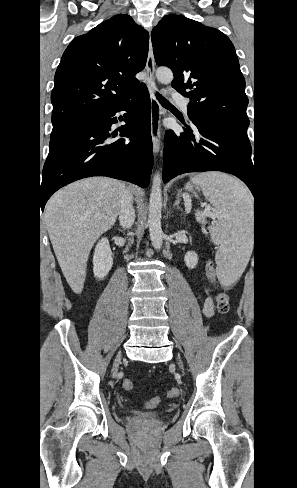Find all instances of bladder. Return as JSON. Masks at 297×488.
Masks as SVG:
<instances>
[{
  "label": "bladder",
  "mask_w": 297,
  "mask_h": 488,
  "mask_svg": "<svg viewBox=\"0 0 297 488\" xmlns=\"http://www.w3.org/2000/svg\"><path fill=\"white\" fill-rule=\"evenodd\" d=\"M133 414L138 415V416L143 417V418H150V417H156L157 416L156 413L141 414V413L133 412Z\"/></svg>",
  "instance_id": "obj_1"
}]
</instances>
